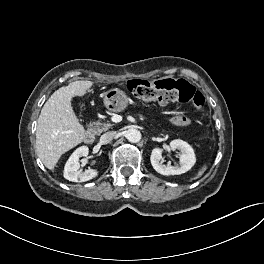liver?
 Segmentation results:
<instances>
[{"label": "liver", "mask_w": 264, "mask_h": 264, "mask_svg": "<svg viewBox=\"0 0 264 264\" xmlns=\"http://www.w3.org/2000/svg\"><path fill=\"white\" fill-rule=\"evenodd\" d=\"M92 81H75L56 90L44 104L36 130V152L45 167L53 170L61 155L80 144L84 127L75 115L71 99L84 96Z\"/></svg>", "instance_id": "obj_1"}]
</instances>
